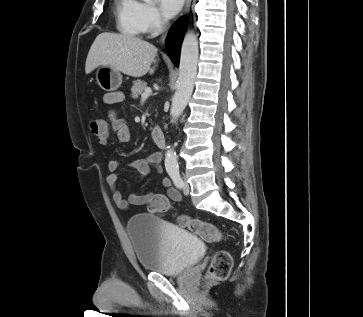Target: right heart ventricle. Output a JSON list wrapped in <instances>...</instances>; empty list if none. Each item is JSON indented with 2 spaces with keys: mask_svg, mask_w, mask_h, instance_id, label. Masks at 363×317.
I'll return each instance as SVG.
<instances>
[{
  "mask_svg": "<svg viewBox=\"0 0 363 317\" xmlns=\"http://www.w3.org/2000/svg\"><path fill=\"white\" fill-rule=\"evenodd\" d=\"M115 17L118 30L129 36L142 31L141 3L138 0H115Z\"/></svg>",
  "mask_w": 363,
  "mask_h": 317,
  "instance_id": "right-heart-ventricle-1",
  "label": "right heart ventricle"
}]
</instances>
